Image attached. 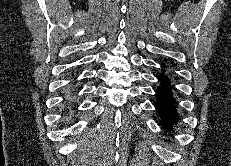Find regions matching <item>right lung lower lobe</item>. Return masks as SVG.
<instances>
[{"label":"right lung lower lobe","instance_id":"obj_1","mask_svg":"<svg viewBox=\"0 0 231 166\" xmlns=\"http://www.w3.org/2000/svg\"><path fill=\"white\" fill-rule=\"evenodd\" d=\"M77 92L76 82L69 83L64 89V101L61 108L65 114V119H69L72 116L77 103Z\"/></svg>","mask_w":231,"mask_h":166}]
</instances>
